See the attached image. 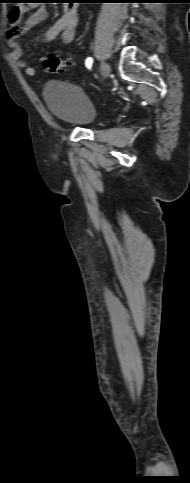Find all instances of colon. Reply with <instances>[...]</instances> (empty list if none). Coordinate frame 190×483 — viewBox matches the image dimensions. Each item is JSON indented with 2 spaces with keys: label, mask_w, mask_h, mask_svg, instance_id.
I'll list each match as a JSON object with an SVG mask.
<instances>
[{
  "label": "colon",
  "mask_w": 190,
  "mask_h": 483,
  "mask_svg": "<svg viewBox=\"0 0 190 483\" xmlns=\"http://www.w3.org/2000/svg\"><path fill=\"white\" fill-rule=\"evenodd\" d=\"M42 63H43L44 70L47 73H51V74H60L67 67L72 65L71 60H63L52 53H48L44 55L42 58Z\"/></svg>",
  "instance_id": "1"
}]
</instances>
